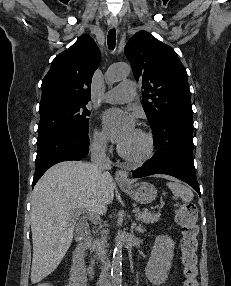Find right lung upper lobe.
Instances as JSON below:
<instances>
[{
  "label": "right lung upper lobe",
  "mask_w": 231,
  "mask_h": 286,
  "mask_svg": "<svg viewBox=\"0 0 231 286\" xmlns=\"http://www.w3.org/2000/svg\"><path fill=\"white\" fill-rule=\"evenodd\" d=\"M100 61V52L89 35L80 36L52 62L42 82L40 106L57 101L88 102L92 76Z\"/></svg>",
  "instance_id": "right-lung-upper-lobe-1"
}]
</instances>
